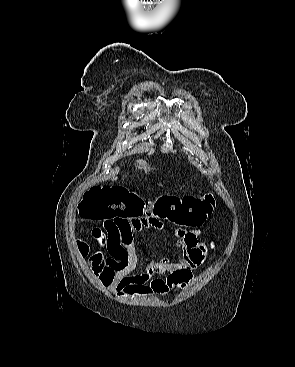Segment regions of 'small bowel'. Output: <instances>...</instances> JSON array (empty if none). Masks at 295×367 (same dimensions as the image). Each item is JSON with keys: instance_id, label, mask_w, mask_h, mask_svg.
Returning a JSON list of instances; mask_svg holds the SVG:
<instances>
[{"instance_id": "small-bowel-1", "label": "small bowel", "mask_w": 295, "mask_h": 367, "mask_svg": "<svg viewBox=\"0 0 295 367\" xmlns=\"http://www.w3.org/2000/svg\"><path fill=\"white\" fill-rule=\"evenodd\" d=\"M146 227L161 230L164 223L160 219L146 217L103 222L109 257L97 275L102 285L117 297L166 296L174 289H182L193 279V271L205 262L209 254L210 247L200 239L199 229L177 225L174 234L182 252L181 258L177 261L156 260L145 255L144 272L133 274L138 264L134 235ZM161 273H166L167 277H153Z\"/></svg>"}]
</instances>
